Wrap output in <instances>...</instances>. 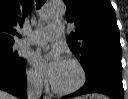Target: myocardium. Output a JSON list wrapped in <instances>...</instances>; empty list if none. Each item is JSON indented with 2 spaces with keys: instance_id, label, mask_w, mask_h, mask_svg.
Returning a JSON list of instances; mask_svg holds the SVG:
<instances>
[{
  "instance_id": "obj_1",
  "label": "myocardium",
  "mask_w": 128,
  "mask_h": 99,
  "mask_svg": "<svg viewBox=\"0 0 128 99\" xmlns=\"http://www.w3.org/2000/svg\"><path fill=\"white\" fill-rule=\"evenodd\" d=\"M65 61L68 62V63H71V64H73L77 67V69L79 71V80L74 86L69 87V88H65V89L57 87L52 82L51 83V88H52L53 92H55L56 94H59V95L72 94V93L78 91L79 89H81L84 86L85 82H86V71H85L83 65L81 64V62L78 61L75 58H68Z\"/></svg>"
}]
</instances>
